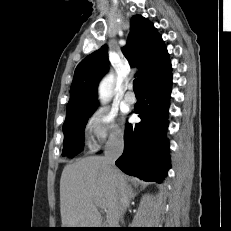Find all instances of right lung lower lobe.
<instances>
[{
	"instance_id": "obj_1",
	"label": "right lung lower lobe",
	"mask_w": 231,
	"mask_h": 231,
	"mask_svg": "<svg viewBox=\"0 0 231 231\" xmlns=\"http://www.w3.org/2000/svg\"><path fill=\"white\" fill-rule=\"evenodd\" d=\"M172 86L171 71L141 86L142 100L135 105L141 118L126 124L124 152L115 164L126 174L161 183L170 168L167 114Z\"/></svg>"
}]
</instances>
